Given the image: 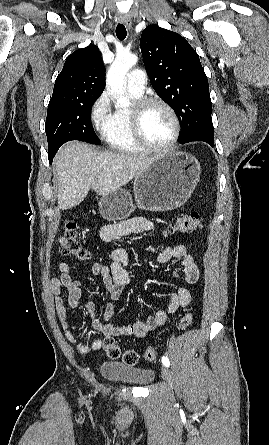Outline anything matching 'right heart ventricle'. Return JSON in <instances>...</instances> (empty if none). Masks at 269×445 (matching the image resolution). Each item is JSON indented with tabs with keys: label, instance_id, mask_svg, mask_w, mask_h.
<instances>
[{
	"label": "right heart ventricle",
	"instance_id": "right-heart-ventricle-1",
	"mask_svg": "<svg viewBox=\"0 0 269 445\" xmlns=\"http://www.w3.org/2000/svg\"><path fill=\"white\" fill-rule=\"evenodd\" d=\"M129 94L135 99L139 97L131 92ZM101 134L105 142L118 152L128 154L143 152L132 134L129 109H117L110 113L108 119L101 126Z\"/></svg>",
	"mask_w": 269,
	"mask_h": 445
}]
</instances>
